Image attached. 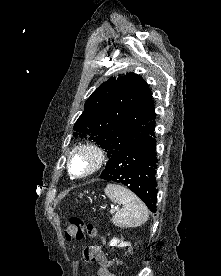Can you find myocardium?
<instances>
[{"label":"myocardium","instance_id":"f54148a6","mask_svg":"<svg viewBox=\"0 0 221 276\" xmlns=\"http://www.w3.org/2000/svg\"><path fill=\"white\" fill-rule=\"evenodd\" d=\"M84 155L89 160V166L83 173H76L73 170L72 162L77 155ZM105 162V155L101 148L93 143H81L74 146L67 156V169L71 176L82 179L97 173Z\"/></svg>","mask_w":221,"mask_h":276}]
</instances>
